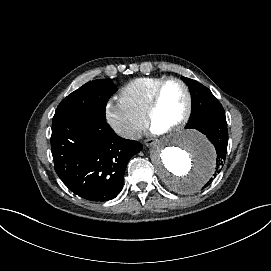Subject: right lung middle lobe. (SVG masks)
<instances>
[{"label": "right lung middle lobe", "mask_w": 271, "mask_h": 271, "mask_svg": "<svg viewBox=\"0 0 271 271\" xmlns=\"http://www.w3.org/2000/svg\"><path fill=\"white\" fill-rule=\"evenodd\" d=\"M116 90L117 88L110 80L90 81L61 101L53 121L73 113L105 117L106 103Z\"/></svg>", "instance_id": "obj_1"}]
</instances>
